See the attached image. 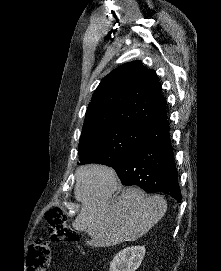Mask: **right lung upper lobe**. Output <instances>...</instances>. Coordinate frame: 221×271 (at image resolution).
Segmentation results:
<instances>
[{
  "instance_id": "obj_1",
  "label": "right lung upper lobe",
  "mask_w": 221,
  "mask_h": 271,
  "mask_svg": "<svg viewBox=\"0 0 221 271\" xmlns=\"http://www.w3.org/2000/svg\"><path fill=\"white\" fill-rule=\"evenodd\" d=\"M166 118V100L155 71L133 61L102 79L88 105L81 136L110 126L147 130Z\"/></svg>"
}]
</instances>
